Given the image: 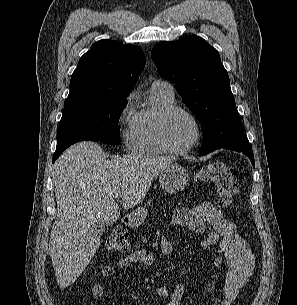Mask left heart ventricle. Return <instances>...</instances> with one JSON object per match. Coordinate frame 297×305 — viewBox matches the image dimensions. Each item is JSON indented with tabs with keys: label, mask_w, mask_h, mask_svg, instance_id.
<instances>
[{
	"label": "left heart ventricle",
	"mask_w": 297,
	"mask_h": 305,
	"mask_svg": "<svg viewBox=\"0 0 297 305\" xmlns=\"http://www.w3.org/2000/svg\"><path fill=\"white\" fill-rule=\"evenodd\" d=\"M166 135L172 146L184 147L194 139L195 127L186 115L176 113L167 122Z\"/></svg>",
	"instance_id": "obj_1"
}]
</instances>
